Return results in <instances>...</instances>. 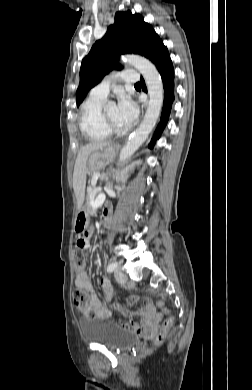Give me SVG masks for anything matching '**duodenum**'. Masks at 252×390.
I'll return each instance as SVG.
<instances>
[{"mask_svg":"<svg viewBox=\"0 0 252 390\" xmlns=\"http://www.w3.org/2000/svg\"><path fill=\"white\" fill-rule=\"evenodd\" d=\"M109 208L104 207L103 212H102V225L104 229L109 228Z\"/></svg>","mask_w":252,"mask_h":390,"instance_id":"1","label":"duodenum"}]
</instances>
